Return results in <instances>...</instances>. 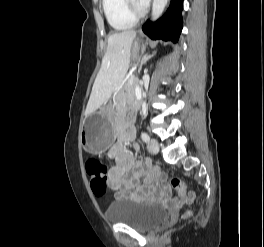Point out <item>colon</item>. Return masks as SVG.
<instances>
[{"instance_id": "5ec220e1", "label": "colon", "mask_w": 264, "mask_h": 247, "mask_svg": "<svg viewBox=\"0 0 264 247\" xmlns=\"http://www.w3.org/2000/svg\"><path fill=\"white\" fill-rule=\"evenodd\" d=\"M86 172L91 181V187L96 195H104L108 190L109 175L107 168L99 160L89 159L85 164ZM171 186L177 191L178 195L190 202L194 198L193 193H187L186 185L180 178H173ZM189 212L186 213V216Z\"/></svg>"}]
</instances>
